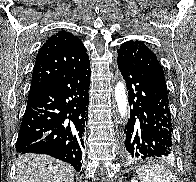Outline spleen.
Wrapping results in <instances>:
<instances>
[{"instance_id":"obj_1","label":"spleen","mask_w":196,"mask_h":182,"mask_svg":"<svg viewBox=\"0 0 196 182\" xmlns=\"http://www.w3.org/2000/svg\"><path fill=\"white\" fill-rule=\"evenodd\" d=\"M141 182H174L171 172L163 166H145L137 171Z\"/></svg>"}]
</instances>
